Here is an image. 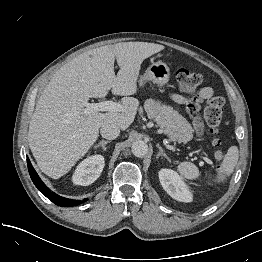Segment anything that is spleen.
<instances>
[{
	"instance_id": "spleen-1",
	"label": "spleen",
	"mask_w": 262,
	"mask_h": 262,
	"mask_svg": "<svg viewBox=\"0 0 262 262\" xmlns=\"http://www.w3.org/2000/svg\"><path fill=\"white\" fill-rule=\"evenodd\" d=\"M238 156V148L236 146H231L221 164L220 174L216 179L217 182L225 181V179L233 173L238 161ZM177 170L186 179L192 180L199 176L198 168L191 162H181L177 166Z\"/></svg>"
}]
</instances>
